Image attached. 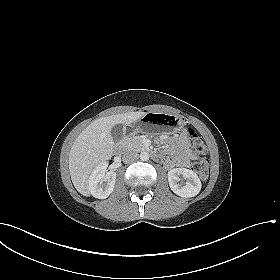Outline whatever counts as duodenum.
I'll use <instances>...</instances> for the list:
<instances>
[{
    "label": "duodenum",
    "instance_id": "410a0bca",
    "mask_svg": "<svg viewBox=\"0 0 280 280\" xmlns=\"http://www.w3.org/2000/svg\"><path fill=\"white\" fill-rule=\"evenodd\" d=\"M122 149H123V145L122 144L118 145L117 150L121 151ZM151 156L155 159H159L161 157V155L157 152H151Z\"/></svg>",
    "mask_w": 280,
    "mask_h": 280
}]
</instances>
